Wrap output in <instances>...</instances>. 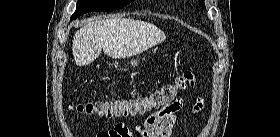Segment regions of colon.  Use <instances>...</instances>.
<instances>
[{"label": "colon", "instance_id": "obj_1", "mask_svg": "<svg viewBox=\"0 0 280 137\" xmlns=\"http://www.w3.org/2000/svg\"><path fill=\"white\" fill-rule=\"evenodd\" d=\"M196 84V75L192 70H186L176 77L173 83L161 86L149 95L122 100H97L80 103L75 106L77 112L85 115L101 117L143 115L153 108H158L171 101L177 92L193 88ZM114 134L112 137H117ZM130 137H133L130 136Z\"/></svg>", "mask_w": 280, "mask_h": 137}]
</instances>
